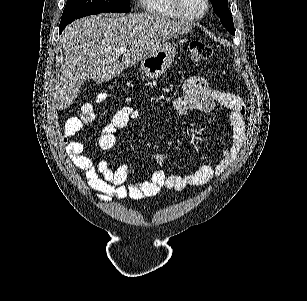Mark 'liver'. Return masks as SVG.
Here are the masks:
<instances>
[{"instance_id": "obj_1", "label": "liver", "mask_w": 307, "mask_h": 301, "mask_svg": "<svg viewBox=\"0 0 307 301\" xmlns=\"http://www.w3.org/2000/svg\"><path fill=\"white\" fill-rule=\"evenodd\" d=\"M190 22H177L155 14H93L78 18L61 34L65 62L57 86L56 108L64 110L74 102L81 84L93 78L97 84L121 74L160 48L168 38L191 32ZM127 46V52L115 48Z\"/></svg>"}]
</instances>
